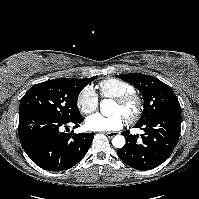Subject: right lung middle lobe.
Listing matches in <instances>:
<instances>
[{
    "label": "right lung middle lobe",
    "instance_id": "dd1d6c3e",
    "mask_svg": "<svg viewBox=\"0 0 199 199\" xmlns=\"http://www.w3.org/2000/svg\"><path fill=\"white\" fill-rule=\"evenodd\" d=\"M97 77L53 79L32 86L23 96L19 116L41 114L63 121L81 117L77 106L80 91Z\"/></svg>",
    "mask_w": 199,
    "mask_h": 199
}]
</instances>
